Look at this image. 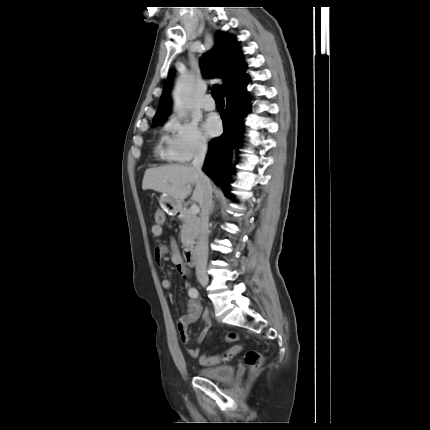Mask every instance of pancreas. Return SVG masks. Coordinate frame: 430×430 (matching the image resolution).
Returning <instances> with one entry per match:
<instances>
[{
    "label": "pancreas",
    "mask_w": 430,
    "mask_h": 430,
    "mask_svg": "<svg viewBox=\"0 0 430 430\" xmlns=\"http://www.w3.org/2000/svg\"><path fill=\"white\" fill-rule=\"evenodd\" d=\"M182 220L181 242L183 245L194 242L198 235L200 219L191 213L190 209L183 211L180 218Z\"/></svg>",
    "instance_id": "cf45deb5"
}]
</instances>
